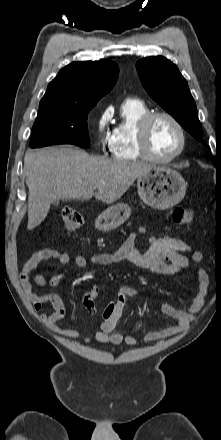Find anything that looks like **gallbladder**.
Returning <instances> with one entry per match:
<instances>
[{
	"mask_svg": "<svg viewBox=\"0 0 221 440\" xmlns=\"http://www.w3.org/2000/svg\"><path fill=\"white\" fill-rule=\"evenodd\" d=\"M52 204H53L54 206L58 205V204H59V200H55Z\"/></svg>",
	"mask_w": 221,
	"mask_h": 440,
	"instance_id": "gallbladder-1",
	"label": "gallbladder"
}]
</instances>
